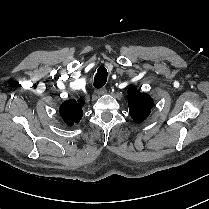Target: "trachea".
I'll return each mask as SVG.
<instances>
[{"label": "trachea", "instance_id": "1", "mask_svg": "<svg viewBox=\"0 0 209 209\" xmlns=\"http://www.w3.org/2000/svg\"><path fill=\"white\" fill-rule=\"evenodd\" d=\"M107 70L105 67H100L94 77V87L97 89L102 88L107 81Z\"/></svg>", "mask_w": 209, "mask_h": 209}]
</instances>
